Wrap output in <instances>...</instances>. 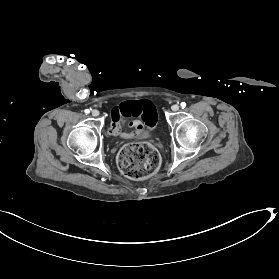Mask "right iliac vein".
<instances>
[{"label": "right iliac vein", "instance_id": "63e3f726", "mask_svg": "<svg viewBox=\"0 0 279 279\" xmlns=\"http://www.w3.org/2000/svg\"><path fill=\"white\" fill-rule=\"evenodd\" d=\"M92 116L97 117L99 115V111L97 109L92 110Z\"/></svg>", "mask_w": 279, "mask_h": 279}]
</instances>
